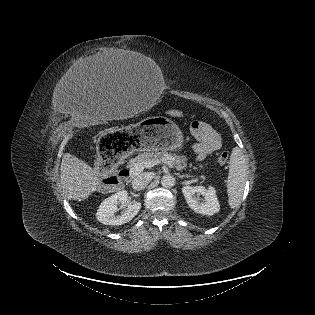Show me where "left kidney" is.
Segmentation results:
<instances>
[{"label":"left kidney","instance_id":"obj_1","mask_svg":"<svg viewBox=\"0 0 315 315\" xmlns=\"http://www.w3.org/2000/svg\"><path fill=\"white\" fill-rule=\"evenodd\" d=\"M182 192L188 206L196 213L213 215L219 212L220 205L213 186H184Z\"/></svg>","mask_w":315,"mask_h":315}]
</instances>
